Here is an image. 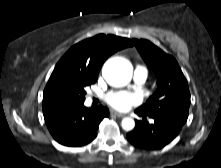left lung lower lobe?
<instances>
[{
    "label": "left lung lower lobe",
    "instance_id": "obj_1",
    "mask_svg": "<svg viewBox=\"0 0 221 168\" xmlns=\"http://www.w3.org/2000/svg\"><path fill=\"white\" fill-rule=\"evenodd\" d=\"M135 113L142 120H136V126L127 133V139L131 144L142 149L154 150L166 146L179 134L186 122L174 116H149L138 110ZM147 117L152 118L154 123H148Z\"/></svg>",
    "mask_w": 221,
    "mask_h": 168
}]
</instances>
